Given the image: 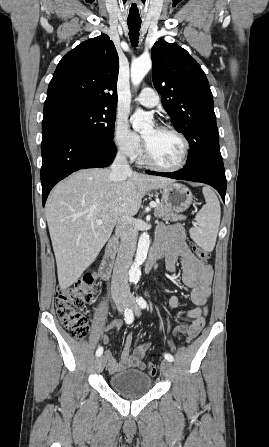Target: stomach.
<instances>
[{"label":"stomach","mask_w":269,"mask_h":447,"mask_svg":"<svg viewBox=\"0 0 269 447\" xmlns=\"http://www.w3.org/2000/svg\"><path fill=\"white\" fill-rule=\"evenodd\" d=\"M162 194V200L172 212H185L192 204L193 196L192 192L181 186V184H169V186H164V188H159Z\"/></svg>","instance_id":"obj_1"}]
</instances>
